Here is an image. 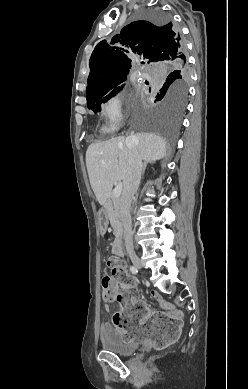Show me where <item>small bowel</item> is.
Returning <instances> with one entry per match:
<instances>
[{
  "label": "small bowel",
  "mask_w": 248,
  "mask_h": 389,
  "mask_svg": "<svg viewBox=\"0 0 248 389\" xmlns=\"http://www.w3.org/2000/svg\"><path fill=\"white\" fill-rule=\"evenodd\" d=\"M152 296L159 300L160 303H161V308L164 309L165 311H168L170 313V315L172 316H181V311L180 310H175L173 308V304L171 302H167V301H164L162 299V297L158 294V293H155L153 292L152 293ZM105 300V305H104V309L109 312L110 311V304L113 303V302H116V300ZM112 328H111V324L109 322H105L102 324V327H101V333H108V332H112ZM119 332L123 335V332L119 330Z\"/></svg>",
  "instance_id": "small-bowel-1"
}]
</instances>
